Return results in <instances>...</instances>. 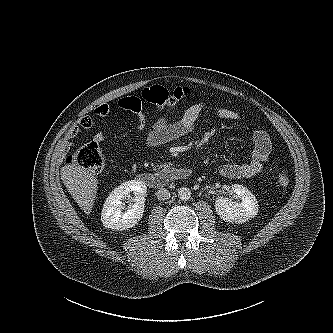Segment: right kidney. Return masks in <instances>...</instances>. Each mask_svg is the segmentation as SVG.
<instances>
[{"label": "right kidney", "mask_w": 333, "mask_h": 333, "mask_svg": "<svg viewBox=\"0 0 333 333\" xmlns=\"http://www.w3.org/2000/svg\"><path fill=\"white\" fill-rule=\"evenodd\" d=\"M133 192L134 203L124 211L123 200ZM147 187L145 183L130 180L116 187L107 197L101 212L103 226L112 230L123 231L134 227L144 213V203Z\"/></svg>", "instance_id": "right-kidney-1"}]
</instances>
